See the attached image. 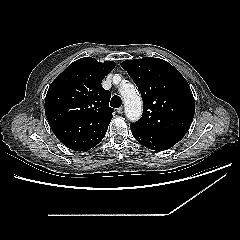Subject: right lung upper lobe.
<instances>
[{"instance_id": "obj_1", "label": "right lung upper lobe", "mask_w": 240, "mask_h": 240, "mask_svg": "<svg viewBox=\"0 0 240 240\" xmlns=\"http://www.w3.org/2000/svg\"><path fill=\"white\" fill-rule=\"evenodd\" d=\"M115 62L81 58L70 64L50 85L45 114L55 136L68 148L86 151L104 138L113 117L111 93L101 82Z\"/></svg>"}]
</instances>
